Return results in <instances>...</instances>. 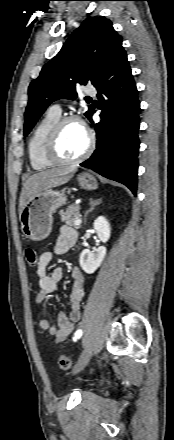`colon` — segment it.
<instances>
[{
  "mask_svg": "<svg viewBox=\"0 0 174 440\" xmlns=\"http://www.w3.org/2000/svg\"><path fill=\"white\" fill-rule=\"evenodd\" d=\"M25 258L29 266H35L38 262L37 251L34 248H27L25 250ZM59 367L64 371H70L72 368L71 359L66 355L60 356Z\"/></svg>",
  "mask_w": 174,
  "mask_h": 440,
  "instance_id": "5ec220e1",
  "label": "colon"
}]
</instances>
